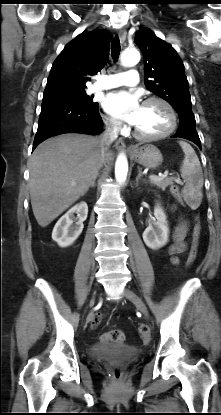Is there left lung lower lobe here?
<instances>
[{"label":"left lung lower lobe","mask_w":221,"mask_h":415,"mask_svg":"<svg viewBox=\"0 0 221 415\" xmlns=\"http://www.w3.org/2000/svg\"><path fill=\"white\" fill-rule=\"evenodd\" d=\"M172 137H179L194 142L201 149V142L198 133L195 129V122L186 121L180 122V127L177 133Z\"/></svg>","instance_id":"0a47b994"}]
</instances>
